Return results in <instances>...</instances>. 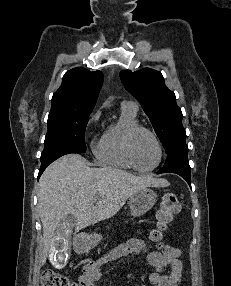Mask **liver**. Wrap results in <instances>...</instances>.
Wrapping results in <instances>:
<instances>
[{"label": "liver", "instance_id": "1", "mask_svg": "<svg viewBox=\"0 0 231 286\" xmlns=\"http://www.w3.org/2000/svg\"><path fill=\"white\" fill-rule=\"evenodd\" d=\"M169 182L127 171L91 168L78 154L65 155L46 168L39 181L38 212L43 226V259L59 237L56 229L67 215L77 219L76 232L113 217L136 191L167 187ZM97 199L96 205H94Z\"/></svg>", "mask_w": 231, "mask_h": 286}]
</instances>
